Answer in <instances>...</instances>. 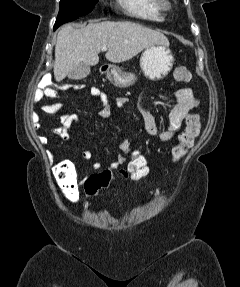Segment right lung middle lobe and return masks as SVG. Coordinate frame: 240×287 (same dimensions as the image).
Returning <instances> with one entry per match:
<instances>
[{
	"label": "right lung middle lobe",
	"instance_id": "dd1d6c3e",
	"mask_svg": "<svg viewBox=\"0 0 240 287\" xmlns=\"http://www.w3.org/2000/svg\"><path fill=\"white\" fill-rule=\"evenodd\" d=\"M98 0H61L54 30L61 24L73 21L91 12Z\"/></svg>",
	"mask_w": 240,
	"mask_h": 287
}]
</instances>
